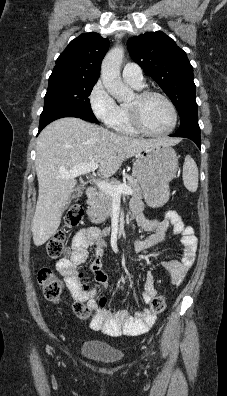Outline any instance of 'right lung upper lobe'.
Wrapping results in <instances>:
<instances>
[{
  "mask_svg": "<svg viewBox=\"0 0 227 396\" xmlns=\"http://www.w3.org/2000/svg\"><path fill=\"white\" fill-rule=\"evenodd\" d=\"M108 47L109 40L98 33L81 34L58 57L52 73L98 79L101 62Z\"/></svg>",
  "mask_w": 227,
  "mask_h": 396,
  "instance_id": "right-lung-upper-lobe-1",
  "label": "right lung upper lobe"
}]
</instances>
